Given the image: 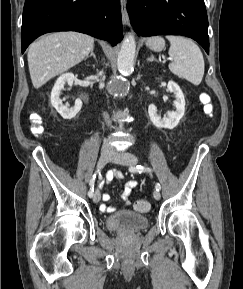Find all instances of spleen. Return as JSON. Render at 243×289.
<instances>
[{
	"instance_id": "3e777b00",
	"label": "spleen",
	"mask_w": 243,
	"mask_h": 289,
	"mask_svg": "<svg viewBox=\"0 0 243 289\" xmlns=\"http://www.w3.org/2000/svg\"><path fill=\"white\" fill-rule=\"evenodd\" d=\"M170 71L194 85H199L204 75V59L199 47L190 39L169 35Z\"/></svg>"
}]
</instances>
